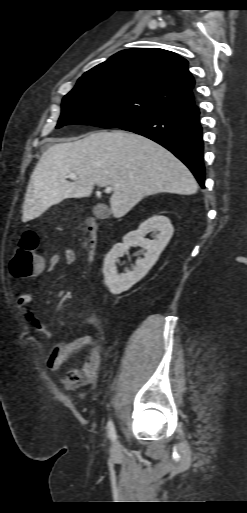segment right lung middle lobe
Segmentation results:
<instances>
[{
  "mask_svg": "<svg viewBox=\"0 0 247 513\" xmlns=\"http://www.w3.org/2000/svg\"><path fill=\"white\" fill-rule=\"evenodd\" d=\"M168 109L137 92L118 88L82 89L76 85L62 100L56 128L68 124L121 127Z\"/></svg>",
  "mask_w": 247,
  "mask_h": 513,
  "instance_id": "obj_1",
  "label": "right lung middle lobe"
}]
</instances>
